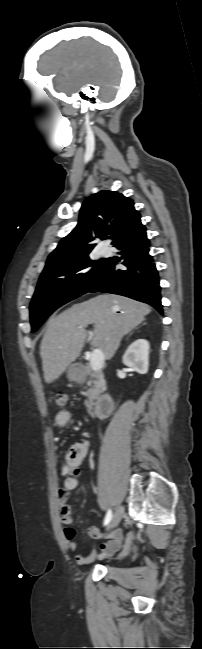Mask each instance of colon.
Instances as JSON below:
<instances>
[{
  "label": "colon",
  "instance_id": "1",
  "mask_svg": "<svg viewBox=\"0 0 202 649\" xmlns=\"http://www.w3.org/2000/svg\"><path fill=\"white\" fill-rule=\"evenodd\" d=\"M53 400L57 406L63 407L66 405L67 397L66 394L63 392H56L53 395Z\"/></svg>",
  "mask_w": 202,
  "mask_h": 649
}]
</instances>
